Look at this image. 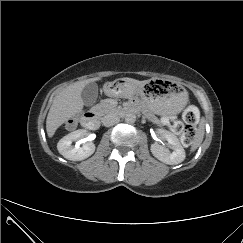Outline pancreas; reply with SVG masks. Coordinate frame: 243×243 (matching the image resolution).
I'll list each match as a JSON object with an SVG mask.
<instances>
[{
    "mask_svg": "<svg viewBox=\"0 0 243 243\" xmlns=\"http://www.w3.org/2000/svg\"><path fill=\"white\" fill-rule=\"evenodd\" d=\"M113 106L110 103L102 102L96 106V109L101 111V113H107L109 112Z\"/></svg>",
    "mask_w": 243,
    "mask_h": 243,
    "instance_id": "pancreas-1",
    "label": "pancreas"
}]
</instances>
